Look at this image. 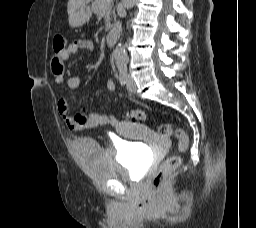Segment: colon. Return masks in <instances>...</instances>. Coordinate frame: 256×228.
Listing matches in <instances>:
<instances>
[{
  "label": "colon",
  "instance_id": "obj_1",
  "mask_svg": "<svg viewBox=\"0 0 256 228\" xmlns=\"http://www.w3.org/2000/svg\"><path fill=\"white\" fill-rule=\"evenodd\" d=\"M66 48V40L61 35H56L53 38V50L54 53H59ZM131 119L133 121H142L145 119V113L142 110H134L131 113ZM160 134L164 137L174 135L178 140V151L184 153L189 147V137L187 133L180 127L175 126L171 123L161 125ZM181 155H173L167 158L164 163L160 166L157 173L153 178V187L155 189H161L165 183L167 176L177 169L181 164Z\"/></svg>",
  "mask_w": 256,
  "mask_h": 228
}]
</instances>
